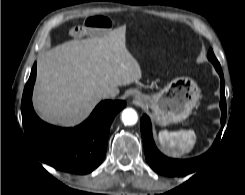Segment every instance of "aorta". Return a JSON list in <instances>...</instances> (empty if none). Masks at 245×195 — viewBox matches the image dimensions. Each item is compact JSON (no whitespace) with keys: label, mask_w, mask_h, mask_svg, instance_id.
I'll list each match as a JSON object with an SVG mask.
<instances>
[{"label":"aorta","mask_w":245,"mask_h":195,"mask_svg":"<svg viewBox=\"0 0 245 195\" xmlns=\"http://www.w3.org/2000/svg\"><path fill=\"white\" fill-rule=\"evenodd\" d=\"M137 112L132 108H127L122 112V121L124 125H134L137 123Z\"/></svg>","instance_id":"obj_1"}]
</instances>
